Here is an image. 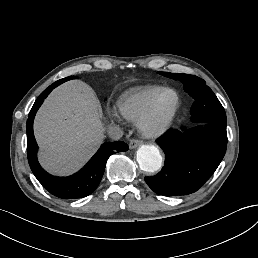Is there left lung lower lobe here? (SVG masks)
Here are the masks:
<instances>
[{"mask_svg":"<svg viewBox=\"0 0 258 258\" xmlns=\"http://www.w3.org/2000/svg\"><path fill=\"white\" fill-rule=\"evenodd\" d=\"M165 153L162 170L145 177L148 186L164 196L196 192L222 161L227 146L226 125L197 122L181 131L171 129L157 140Z\"/></svg>","mask_w":258,"mask_h":258,"instance_id":"obj_1","label":"left lung lower lobe"}]
</instances>
